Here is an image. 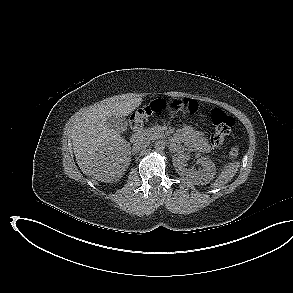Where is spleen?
<instances>
[{
    "label": "spleen",
    "instance_id": "3e777b00",
    "mask_svg": "<svg viewBox=\"0 0 293 293\" xmlns=\"http://www.w3.org/2000/svg\"><path fill=\"white\" fill-rule=\"evenodd\" d=\"M239 167L240 163L238 161L226 164L221 170L218 178L216 179L212 187L220 188L221 186L227 184L235 176Z\"/></svg>",
    "mask_w": 293,
    "mask_h": 293
}]
</instances>
